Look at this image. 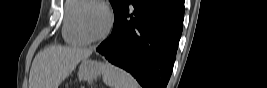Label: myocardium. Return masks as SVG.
I'll list each match as a JSON object with an SVG mask.
<instances>
[{
  "mask_svg": "<svg viewBox=\"0 0 267 88\" xmlns=\"http://www.w3.org/2000/svg\"><path fill=\"white\" fill-rule=\"evenodd\" d=\"M90 5H96V6L101 7L102 9H104V11L107 14V26H106L105 30L100 35H98L96 37H91L87 33V31L85 30L84 25H83V12H84L85 8L87 6H90ZM113 22H114V17H113V13H112L110 7L106 3L102 2V1H98V0L88 1L86 4H84L81 7V9L79 10L78 15H77L78 31H79L80 35L83 37V39H85L87 42H98V41L105 39L112 29Z\"/></svg>",
  "mask_w": 267,
  "mask_h": 88,
  "instance_id": "obj_1",
  "label": "myocardium"
}]
</instances>
